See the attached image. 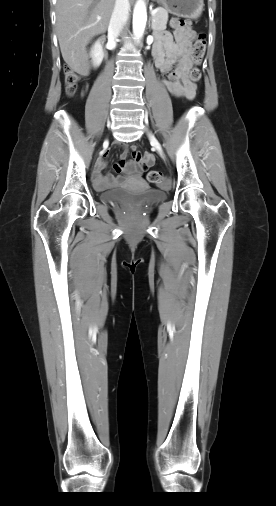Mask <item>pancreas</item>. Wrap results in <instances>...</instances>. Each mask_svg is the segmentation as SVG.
Listing matches in <instances>:
<instances>
[{
	"instance_id": "1",
	"label": "pancreas",
	"mask_w": 276,
	"mask_h": 506,
	"mask_svg": "<svg viewBox=\"0 0 276 506\" xmlns=\"http://www.w3.org/2000/svg\"><path fill=\"white\" fill-rule=\"evenodd\" d=\"M168 21V12L166 9L160 7L157 12L152 16V27L154 31H163L166 29Z\"/></svg>"
}]
</instances>
